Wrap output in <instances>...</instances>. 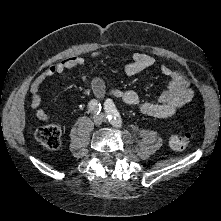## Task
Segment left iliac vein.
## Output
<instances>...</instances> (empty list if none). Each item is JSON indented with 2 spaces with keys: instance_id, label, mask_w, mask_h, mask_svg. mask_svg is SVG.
Listing matches in <instances>:
<instances>
[{
  "instance_id": "1",
  "label": "left iliac vein",
  "mask_w": 221,
  "mask_h": 221,
  "mask_svg": "<svg viewBox=\"0 0 221 221\" xmlns=\"http://www.w3.org/2000/svg\"><path fill=\"white\" fill-rule=\"evenodd\" d=\"M103 118H104V120H106V117H105V116H103ZM117 128H119V127H117Z\"/></svg>"
}]
</instances>
